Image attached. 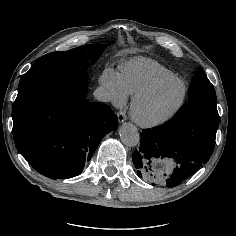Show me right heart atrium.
<instances>
[{
	"label": "right heart atrium",
	"mask_w": 236,
	"mask_h": 236,
	"mask_svg": "<svg viewBox=\"0 0 236 236\" xmlns=\"http://www.w3.org/2000/svg\"><path fill=\"white\" fill-rule=\"evenodd\" d=\"M100 83L107 101L117 107H122L127 103L129 94L118 72L112 68H105L101 74Z\"/></svg>",
	"instance_id": "right-heart-atrium-1"
}]
</instances>
